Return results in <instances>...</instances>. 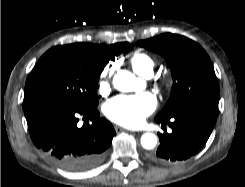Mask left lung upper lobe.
Masks as SVG:
<instances>
[{
  "instance_id": "left-lung-upper-lobe-1",
  "label": "left lung upper lobe",
  "mask_w": 245,
  "mask_h": 187,
  "mask_svg": "<svg viewBox=\"0 0 245 187\" xmlns=\"http://www.w3.org/2000/svg\"><path fill=\"white\" fill-rule=\"evenodd\" d=\"M137 45L161 54L174 80L171 95L156 118L168 119L200 106H218L219 87L212 62L196 42L181 35L166 33Z\"/></svg>"
}]
</instances>
